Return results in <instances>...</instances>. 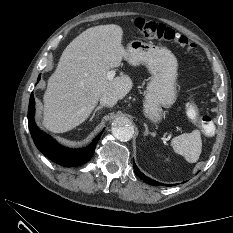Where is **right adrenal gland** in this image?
<instances>
[{
    "instance_id": "2a0ac1e0",
    "label": "right adrenal gland",
    "mask_w": 233,
    "mask_h": 233,
    "mask_svg": "<svg viewBox=\"0 0 233 233\" xmlns=\"http://www.w3.org/2000/svg\"><path fill=\"white\" fill-rule=\"evenodd\" d=\"M102 108H103V106H98V107H96L89 121H92V120L95 118L96 112H97L98 110L102 109Z\"/></svg>"
}]
</instances>
